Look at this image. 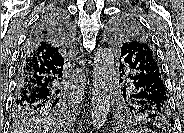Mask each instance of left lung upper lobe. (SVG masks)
Instances as JSON below:
<instances>
[{
	"label": "left lung upper lobe",
	"mask_w": 184,
	"mask_h": 133,
	"mask_svg": "<svg viewBox=\"0 0 184 133\" xmlns=\"http://www.w3.org/2000/svg\"><path fill=\"white\" fill-rule=\"evenodd\" d=\"M108 36L115 47L120 63L121 76L125 75L124 69L134 68L138 64L156 70L162 76V70L153 49L151 39L141 25L130 16H123L113 20L108 26ZM120 83L123 82L120 78ZM132 87H123L117 93V107L121 114L132 118L145 119L137 108L133 97Z\"/></svg>",
	"instance_id": "left-lung-upper-lobe-1"
}]
</instances>
